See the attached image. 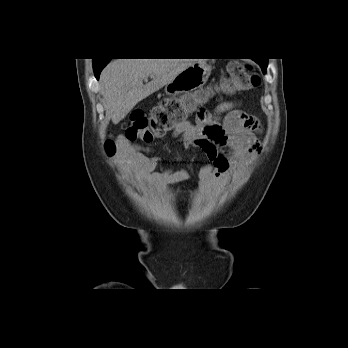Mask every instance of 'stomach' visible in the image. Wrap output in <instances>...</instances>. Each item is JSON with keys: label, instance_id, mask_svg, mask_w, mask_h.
Wrapping results in <instances>:
<instances>
[{"label": "stomach", "instance_id": "obj_1", "mask_svg": "<svg viewBox=\"0 0 348 348\" xmlns=\"http://www.w3.org/2000/svg\"><path fill=\"white\" fill-rule=\"evenodd\" d=\"M210 74L211 66L205 62H196L175 76L165 86V92L169 96L181 95L184 97L187 111L192 112L198 105L207 101L200 90L207 82Z\"/></svg>", "mask_w": 348, "mask_h": 348}]
</instances>
